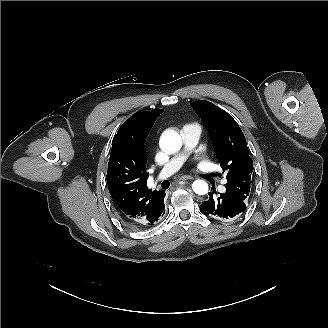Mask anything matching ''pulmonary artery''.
<instances>
[{
	"instance_id": "1",
	"label": "pulmonary artery",
	"mask_w": 328,
	"mask_h": 328,
	"mask_svg": "<svg viewBox=\"0 0 328 328\" xmlns=\"http://www.w3.org/2000/svg\"><path fill=\"white\" fill-rule=\"evenodd\" d=\"M181 135L183 137L184 149L177 155L172 157L163 167L162 171L157 175L156 178H152V184H156L159 180L164 179L173 174L177 169L184 166L188 156L194 152V147L198 144L200 134L199 132L190 127L184 126L181 129Z\"/></svg>"
}]
</instances>
